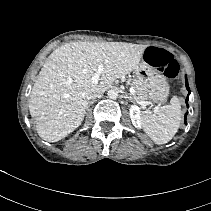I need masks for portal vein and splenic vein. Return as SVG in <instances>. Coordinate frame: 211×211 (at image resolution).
<instances>
[{"label": "portal vein and splenic vein", "mask_w": 211, "mask_h": 211, "mask_svg": "<svg viewBox=\"0 0 211 211\" xmlns=\"http://www.w3.org/2000/svg\"><path fill=\"white\" fill-rule=\"evenodd\" d=\"M103 70H104L103 66H102V65H99L97 71L92 75V82H93V83H98L99 78H100V76H101ZM129 90H130V93H131V94L134 96V98L136 99V101L139 102V100H138V98H137V96H136V94H135V89L131 86V87L129 88Z\"/></svg>", "instance_id": "18ae733b"}]
</instances>
